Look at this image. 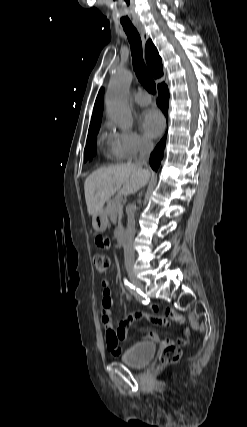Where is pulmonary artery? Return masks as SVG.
<instances>
[{"mask_svg": "<svg viewBox=\"0 0 247 427\" xmlns=\"http://www.w3.org/2000/svg\"><path fill=\"white\" fill-rule=\"evenodd\" d=\"M135 102L139 106H147L151 102V98L149 95L140 93L136 96Z\"/></svg>", "mask_w": 247, "mask_h": 427, "instance_id": "pulmonary-artery-1", "label": "pulmonary artery"}]
</instances>
